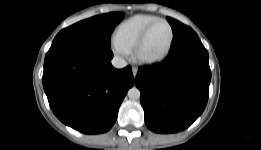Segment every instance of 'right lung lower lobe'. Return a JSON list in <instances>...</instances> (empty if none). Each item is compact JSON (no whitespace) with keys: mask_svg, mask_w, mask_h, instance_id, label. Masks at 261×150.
I'll use <instances>...</instances> for the list:
<instances>
[{"mask_svg":"<svg viewBox=\"0 0 261 150\" xmlns=\"http://www.w3.org/2000/svg\"><path fill=\"white\" fill-rule=\"evenodd\" d=\"M110 48L65 44L46 54L43 87L54 114L85 134L107 132L134 84L132 69L111 65Z\"/></svg>","mask_w":261,"mask_h":150,"instance_id":"98d812e1","label":"right lung lower lobe"}]
</instances>
